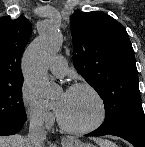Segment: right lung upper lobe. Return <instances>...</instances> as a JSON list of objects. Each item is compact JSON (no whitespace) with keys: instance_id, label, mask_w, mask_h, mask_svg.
Listing matches in <instances>:
<instances>
[{"instance_id":"cb5924a9","label":"right lung upper lobe","mask_w":145,"mask_h":147,"mask_svg":"<svg viewBox=\"0 0 145 147\" xmlns=\"http://www.w3.org/2000/svg\"><path fill=\"white\" fill-rule=\"evenodd\" d=\"M31 36V23L24 16L0 18V85L23 79L21 56Z\"/></svg>"}]
</instances>
